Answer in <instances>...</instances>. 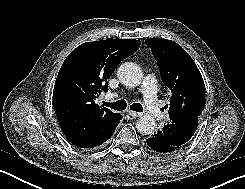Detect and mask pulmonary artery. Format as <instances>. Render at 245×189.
I'll use <instances>...</instances> for the list:
<instances>
[{
    "label": "pulmonary artery",
    "instance_id": "pulmonary-artery-1",
    "mask_svg": "<svg viewBox=\"0 0 245 189\" xmlns=\"http://www.w3.org/2000/svg\"><path fill=\"white\" fill-rule=\"evenodd\" d=\"M142 86L145 87V101L150 109L156 113H159L157 108V102L155 98L156 93V79L152 74H146L142 80Z\"/></svg>",
    "mask_w": 245,
    "mask_h": 189
}]
</instances>
